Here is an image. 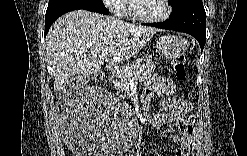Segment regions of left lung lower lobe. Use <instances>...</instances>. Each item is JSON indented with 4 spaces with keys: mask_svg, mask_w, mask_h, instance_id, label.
<instances>
[{
    "mask_svg": "<svg viewBox=\"0 0 247 156\" xmlns=\"http://www.w3.org/2000/svg\"><path fill=\"white\" fill-rule=\"evenodd\" d=\"M144 25L188 33L198 40L201 50H203L206 42V13L202 0H196L184 12L169 17L164 22L146 23Z\"/></svg>",
    "mask_w": 247,
    "mask_h": 156,
    "instance_id": "1",
    "label": "left lung lower lobe"
}]
</instances>
